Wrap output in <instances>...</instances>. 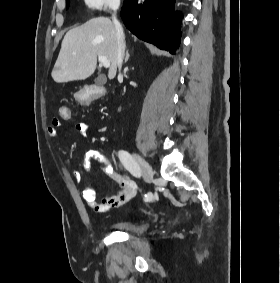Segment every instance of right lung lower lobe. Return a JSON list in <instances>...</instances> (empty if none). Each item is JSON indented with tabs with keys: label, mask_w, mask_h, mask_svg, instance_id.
Here are the masks:
<instances>
[{
	"label": "right lung lower lobe",
	"mask_w": 280,
	"mask_h": 283,
	"mask_svg": "<svg viewBox=\"0 0 280 283\" xmlns=\"http://www.w3.org/2000/svg\"><path fill=\"white\" fill-rule=\"evenodd\" d=\"M175 0H125L121 17L139 39L174 53L180 45L181 12H173Z\"/></svg>",
	"instance_id": "98d812e1"
}]
</instances>
